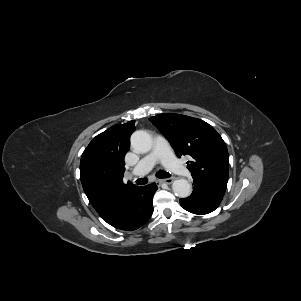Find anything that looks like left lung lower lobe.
<instances>
[{
  "mask_svg": "<svg viewBox=\"0 0 301 301\" xmlns=\"http://www.w3.org/2000/svg\"><path fill=\"white\" fill-rule=\"evenodd\" d=\"M193 179L194 190L189 197L180 199L181 206L185 210L198 215L214 211L222 201L226 189L209 184L198 178Z\"/></svg>",
  "mask_w": 301,
  "mask_h": 301,
  "instance_id": "0a47b994",
  "label": "left lung lower lobe"
}]
</instances>
